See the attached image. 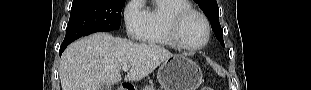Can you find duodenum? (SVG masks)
Listing matches in <instances>:
<instances>
[{"label":"duodenum","instance_id":"duodenum-1","mask_svg":"<svg viewBox=\"0 0 311 90\" xmlns=\"http://www.w3.org/2000/svg\"><path fill=\"white\" fill-rule=\"evenodd\" d=\"M120 90H132L129 86L123 85Z\"/></svg>","mask_w":311,"mask_h":90}]
</instances>
